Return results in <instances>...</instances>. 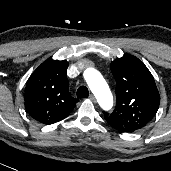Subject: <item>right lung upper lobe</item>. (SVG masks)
Here are the masks:
<instances>
[{"label":"right lung upper lobe","instance_id":"cb5924a9","mask_svg":"<svg viewBox=\"0 0 171 171\" xmlns=\"http://www.w3.org/2000/svg\"><path fill=\"white\" fill-rule=\"evenodd\" d=\"M68 62L48 60L30 76L25 88V108L42 124H53L75 108L78 99L69 93L66 77Z\"/></svg>","mask_w":171,"mask_h":171}]
</instances>
